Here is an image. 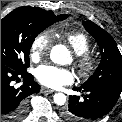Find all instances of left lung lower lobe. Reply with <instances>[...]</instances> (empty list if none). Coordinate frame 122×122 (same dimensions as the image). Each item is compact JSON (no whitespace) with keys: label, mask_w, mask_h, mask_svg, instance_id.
<instances>
[{"label":"left lung lower lobe","mask_w":122,"mask_h":122,"mask_svg":"<svg viewBox=\"0 0 122 122\" xmlns=\"http://www.w3.org/2000/svg\"><path fill=\"white\" fill-rule=\"evenodd\" d=\"M75 91L87 92L84 100L80 97L69 96L68 107L62 116L69 122H88L106 115L117 102L122 87L108 85L97 87H75Z\"/></svg>","instance_id":"left-lung-lower-lobe-1"}]
</instances>
